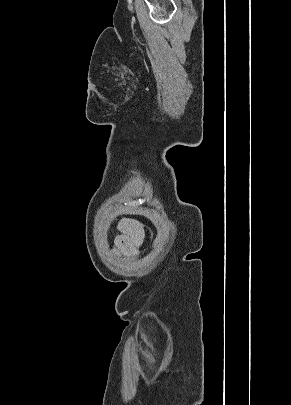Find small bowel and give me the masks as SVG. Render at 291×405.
Returning a JSON list of instances; mask_svg holds the SVG:
<instances>
[{"label":"small bowel","instance_id":"small-bowel-1","mask_svg":"<svg viewBox=\"0 0 291 405\" xmlns=\"http://www.w3.org/2000/svg\"><path fill=\"white\" fill-rule=\"evenodd\" d=\"M120 233L115 241L117 250L122 255L135 256L143 240L141 225L136 222L126 221L121 225Z\"/></svg>","mask_w":291,"mask_h":405}]
</instances>
